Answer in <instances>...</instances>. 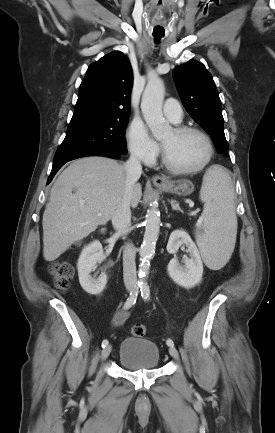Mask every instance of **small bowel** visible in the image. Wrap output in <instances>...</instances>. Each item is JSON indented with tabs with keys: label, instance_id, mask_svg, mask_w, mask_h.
Returning a JSON list of instances; mask_svg holds the SVG:
<instances>
[{
	"label": "small bowel",
	"instance_id": "obj_1",
	"mask_svg": "<svg viewBox=\"0 0 275 433\" xmlns=\"http://www.w3.org/2000/svg\"><path fill=\"white\" fill-rule=\"evenodd\" d=\"M129 316V312L126 309H119L112 318V324L115 327L122 326Z\"/></svg>",
	"mask_w": 275,
	"mask_h": 433
}]
</instances>
